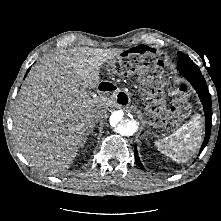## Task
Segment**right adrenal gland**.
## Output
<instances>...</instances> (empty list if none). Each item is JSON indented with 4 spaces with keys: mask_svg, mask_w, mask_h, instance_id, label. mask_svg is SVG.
I'll return each instance as SVG.
<instances>
[{
    "mask_svg": "<svg viewBox=\"0 0 221 221\" xmlns=\"http://www.w3.org/2000/svg\"><path fill=\"white\" fill-rule=\"evenodd\" d=\"M94 126H95V124H92L91 129L86 133V136H85L84 142H86L87 139H88V136H89L90 134L93 133Z\"/></svg>",
    "mask_w": 221,
    "mask_h": 221,
    "instance_id": "right-adrenal-gland-1",
    "label": "right adrenal gland"
}]
</instances>
